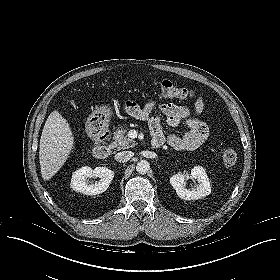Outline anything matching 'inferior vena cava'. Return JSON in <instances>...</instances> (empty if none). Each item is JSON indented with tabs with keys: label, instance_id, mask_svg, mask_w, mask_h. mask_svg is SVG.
Segmentation results:
<instances>
[{
	"label": "inferior vena cava",
	"instance_id": "obj_1",
	"mask_svg": "<svg viewBox=\"0 0 280 280\" xmlns=\"http://www.w3.org/2000/svg\"><path fill=\"white\" fill-rule=\"evenodd\" d=\"M134 156L132 151H122L115 155V159L118 162H127Z\"/></svg>",
	"mask_w": 280,
	"mask_h": 280
}]
</instances>
